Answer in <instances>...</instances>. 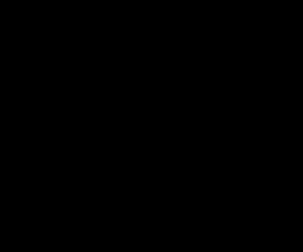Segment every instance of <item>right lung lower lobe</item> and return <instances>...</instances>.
Instances as JSON below:
<instances>
[{
  "label": "right lung lower lobe",
  "instance_id": "98d812e1",
  "mask_svg": "<svg viewBox=\"0 0 303 252\" xmlns=\"http://www.w3.org/2000/svg\"><path fill=\"white\" fill-rule=\"evenodd\" d=\"M83 136L86 139V144L82 147L81 155L86 161V166L91 173L94 180H103L108 176H111L113 169L106 164L103 160H97L93 156V148L91 143L101 142V138L91 130L83 132Z\"/></svg>",
  "mask_w": 303,
  "mask_h": 252
}]
</instances>
